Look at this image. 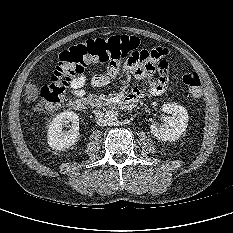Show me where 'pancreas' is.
<instances>
[{"label": "pancreas", "instance_id": "pancreas-1", "mask_svg": "<svg viewBox=\"0 0 233 233\" xmlns=\"http://www.w3.org/2000/svg\"><path fill=\"white\" fill-rule=\"evenodd\" d=\"M85 101L87 104L93 107H101L105 105V103L101 101L96 95H87V97L85 98Z\"/></svg>", "mask_w": 233, "mask_h": 233}]
</instances>
